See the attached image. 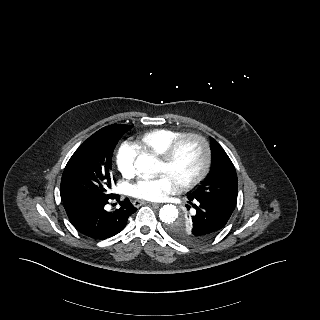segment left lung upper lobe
Masks as SVG:
<instances>
[{"label":"left lung upper lobe","instance_id":"obj_1","mask_svg":"<svg viewBox=\"0 0 320 320\" xmlns=\"http://www.w3.org/2000/svg\"><path fill=\"white\" fill-rule=\"evenodd\" d=\"M212 164L210 174L198 186L189 193L188 200L202 198L214 202L224 210L233 213L237 203L238 180L235 167L230 158L219 145L212 139ZM192 205V204H191ZM191 208L189 205L186 206ZM193 207V205H192ZM198 214L192 210V214L178 218L168 226L169 234L177 241L184 244H197L202 242L195 234L199 228Z\"/></svg>","mask_w":320,"mask_h":320}]
</instances>
